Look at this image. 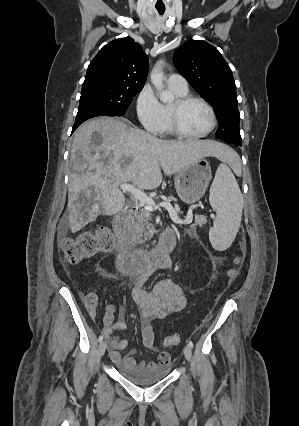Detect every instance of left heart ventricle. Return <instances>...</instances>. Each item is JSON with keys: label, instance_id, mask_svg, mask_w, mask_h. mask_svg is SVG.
Returning <instances> with one entry per match:
<instances>
[{"label": "left heart ventricle", "instance_id": "b2bd125f", "mask_svg": "<svg viewBox=\"0 0 299 426\" xmlns=\"http://www.w3.org/2000/svg\"><path fill=\"white\" fill-rule=\"evenodd\" d=\"M180 123L186 132L200 134L209 129L211 116L203 104L191 102L181 110Z\"/></svg>", "mask_w": 299, "mask_h": 426}]
</instances>
